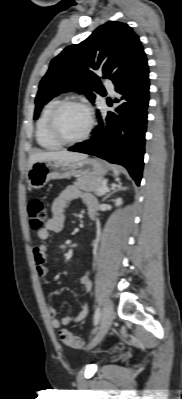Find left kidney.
I'll list each match as a JSON object with an SVG mask.
<instances>
[{
    "mask_svg": "<svg viewBox=\"0 0 182 399\" xmlns=\"http://www.w3.org/2000/svg\"><path fill=\"white\" fill-rule=\"evenodd\" d=\"M122 199L121 198H117L116 200H115V205L116 206H120L121 204H122Z\"/></svg>",
    "mask_w": 182,
    "mask_h": 399,
    "instance_id": "1",
    "label": "left kidney"
}]
</instances>
